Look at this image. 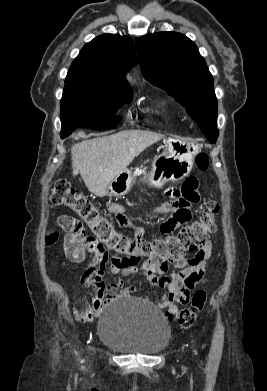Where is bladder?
I'll use <instances>...</instances> for the list:
<instances>
[{"label": "bladder", "mask_w": 267, "mask_h": 391, "mask_svg": "<svg viewBox=\"0 0 267 391\" xmlns=\"http://www.w3.org/2000/svg\"><path fill=\"white\" fill-rule=\"evenodd\" d=\"M98 337L122 353L153 355L167 347L171 329L158 308L135 298H120L101 314Z\"/></svg>", "instance_id": "obj_1"}]
</instances>
